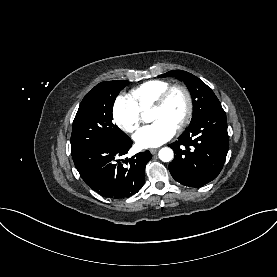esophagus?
I'll use <instances>...</instances> for the list:
<instances>
[{
	"label": "esophagus",
	"mask_w": 277,
	"mask_h": 277,
	"mask_svg": "<svg viewBox=\"0 0 277 277\" xmlns=\"http://www.w3.org/2000/svg\"><path fill=\"white\" fill-rule=\"evenodd\" d=\"M157 151H158L157 148H152V149H150L151 154H155V153H157Z\"/></svg>",
	"instance_id": "obj_1"
}]
</instances>
